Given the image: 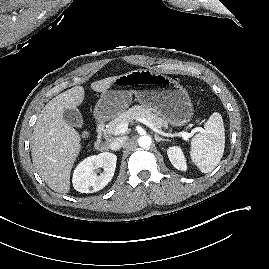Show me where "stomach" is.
Here are the masks:
<instances>
[{
	"mask_svg": "<svg viewBox=\"0 0 269 269\" xmlns=\"http://www.w3.org/2000/svg\"><path fill=\"white\" fill-rule=\"evenodd\" d=\"M133 95L172 126H184L193 117L189 94L177 81L155 71L133 70L118 76L102 92L94 109L95 118L107 121L120 115L130 106Z\"/></svg>",
	"mask_w": 269,
	"mask_h": 269,
	"instance_id": "stomach-1",
	"label": "stomach"
}]
</instances>
